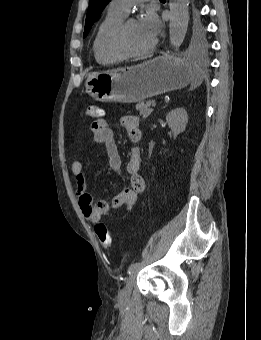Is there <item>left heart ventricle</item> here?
<instances>
[{
  "label": "left heart ventricle",
  "mask_w": 261,
  "mask_h": 340,
  "mask_svg": "<svg viewBox=\"0 0 261 340\" xmlns=\"http://www.w3.org/2000/svg\"><path fill=\"white\" fill-rule=\"evenodd\" d=\"M148 34H146L139 25V22L130 24L123 36L124 47L132 52L141 51L151 45L153 42Z\"/></svg>",
  "instance_id": "1"
}]
</instances>
